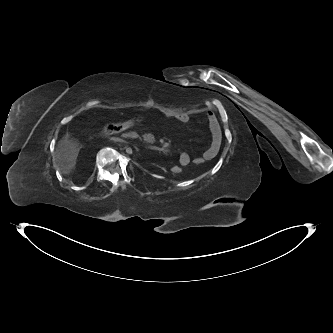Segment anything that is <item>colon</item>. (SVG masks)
<instances>
[{"instance_id": "obj_1", "label": "colon", "mask_w": 333, "mask_h": 333, "mask_svg": "<svg viewBox=\"0 0 333 333\" xmlns=\"http://www.w3.org/2000/svg\"><path fill=\"white\" fill-rule=\"evenodd\" d=\"M160 118H161V113L159 111H152V112H147V113H143V114H137L136 116L129 115L127 117V119L121 121V123L118 122V123L106 125L102 129V133L107 134V135L115 134V133H118V132L124 130L125 128L127 130H130L133 127V124L135 122L144 123V122H149L152 120H159ZM168 169H171L172 172L178 173V174H182V173H184V171H186V168H184V166L177 165V164L172 165V167L168 166Z\"/></svg>"}]
</instances>
